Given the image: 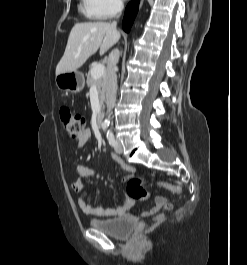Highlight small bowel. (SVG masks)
<instances>
[{
    "instance_id": "1",
    "label": "small bowel",
    "mask_w": 247,
    "mask_h": 265,
    "mask_svg": "<svg viewBox=\"0 0 247 265\" xmlns=\"http://www.w3.org/2000/svg\"><path fill=\"white\" fill-rule=\"evenodd\" d=\"M92 134L89 129H86L83 139L79 142L80 147H84L90 140ZM113 159L119 163V165L128 172H134V168L120 158L112 156ZM77 173L79 178L72 184L73 190L78 194L77 203L79 208L87 215L99 216V217H111V216H127L130 218H137L136 215L130 214V210L134 205V199L127 198L122 205L116 208H103L99 206H93L86 202L83 197L84 184L83 179L91 178L95 175V170L86 165H77ZM166 199L161 196L155 198L154 204L149 210L144 211L141 217H147L157 213L161 207L165 204Z\"/></svg>"
}]
</instances>
